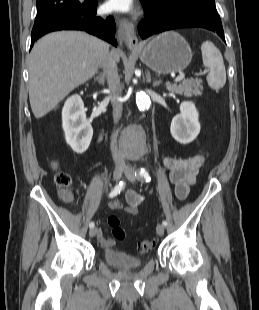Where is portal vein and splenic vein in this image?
Masks as SVG:
<instances>
[{
    "instance_id": "18ae733b",
    "label": "portal vein and splenic vein",
    "mask_w": 259,
    "mask_h": 310,
    "mask_svg": "<svg viewBox=\"0 0 259 310\" xmlns=\"http://www.w3.org/2000/svg\"><path fill=\"white\" fill-rule=\"evenodd\" d=\"M185 78L184 74H180L179 76H177V78L175 79V82H180L181 80H183Z\"/></svg>"
}]
</instances>
